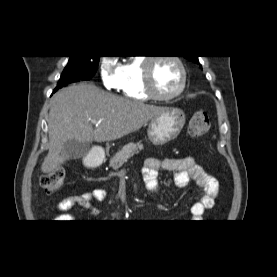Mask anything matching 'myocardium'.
Masks as SVG:
<instances>
[{
    "label": "myocardium",
    "mask_w": 277,
    "mask_h": 277,
    "mask_svg": "<svg viewBox=\"0 0 277 277\" xmlns=\"http://www.w3.org/2000/svg\"><path fill=\"white\" fill-rule=\"evenodd\" d=\"M158 59H168L176 63V65L179 67L180 74H181V82L179 88L170 95H161L159 94L154 86V79H153V64ZM187 85V70L183 63V61L177 57L176 55H165L164 57H151L147 60H144L143 64V88L146 94L155 100L160 101H169L172 99L177 98L180 96Z\"/></svg>",
    "instance_id": "f54148a6"
}]
</instances>
